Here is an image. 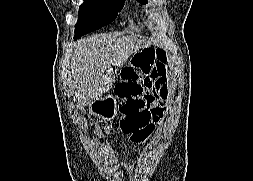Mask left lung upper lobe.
I'll return each mask as SVG.
<instances>
[{
  "label": "left lung upper lobe",
  "instance_id": "obj_1",
  "mask_svg": "<svg viewBox=\"0 0 253 181\" xmlns=\"http://www.w3.org/2000/svg\"><path fill=\"white\" fill-rule=\"evenodd\" d=\"M139 2H141V3H147V0H138Z\"/></svg>",
  "mask_w": 253,
  "mask_h": 181
}]
</instances>
